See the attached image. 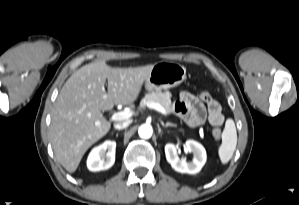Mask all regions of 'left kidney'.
Wrapping results in <instances>:
<instances>
[{
  "mask_svg": "<svg viewBox=\"0 0 299 205\" xmlns=\"http://www.w3.org/2000/svg\"><path fill=\"white\" fill-rule=\"evenodd\" d=\"M187 151L192 152L194 158L192 162H187L186 159H179L177 156V148L174 144L168 143L165 146V155L167 161L171 164L172 168L180 173L196 174L204 166L207 155L205 148L194 140H187L185 142Z\"/></svg>",
  "mask_w": 299,
  "mask_h": 205,
  "instance_id": "1",
  "label": "left kidney"
}]
</instances>
